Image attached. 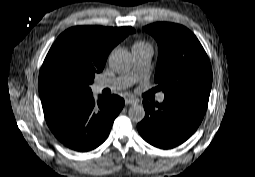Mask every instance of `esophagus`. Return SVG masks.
Listing matches in <instances>:
<instances>
[{"mask_svg": "<svg viewBox=\"0 0 255 177\" xmlns=\"http://www.w3.org/2000/svg\"><path fill=\"white\" fill-rule=\"evenodd\" d=\"M139 101L135 98L132 97H126L125 98V104L129 105V104H137Z\"/></svg>", "mask_w": 255, "mask_h": 177, "instance_id": "1", "label": "esophagus"}]
</instances>
